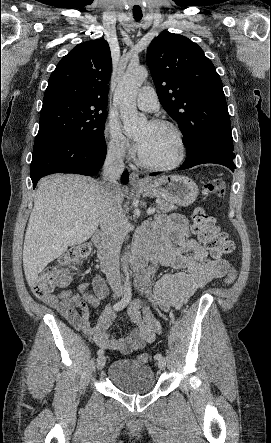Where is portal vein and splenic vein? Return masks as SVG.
I'll list each match as a JSON object with an SVG mask.
<instances>
[{
    "mask_svg": "<svg viewBox=\"0 0 271 443\" xmlns=\"http://www.w3.org/2000/svg\"><path fill=\"white\" fill-rule=\"evenodd\" d=\"M147 214H149V216H151V214H155L154 208H151V210H147Z\"/></svg>",
    "mask_w": 271,
    "mask_h": 443,
    "instance_id": "1",
    "label": "portal vein and splenic vein"
}]
</instances>
